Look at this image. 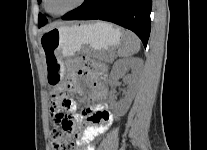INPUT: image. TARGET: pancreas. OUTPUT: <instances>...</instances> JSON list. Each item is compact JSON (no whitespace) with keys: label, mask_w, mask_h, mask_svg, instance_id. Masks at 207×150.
I'll return each mask as SVG.
<instances>
[{"label":"pancreas","mask_w":207,"mask_h":150,"mask_svg":"<svg viewBox=\"0 0 207 150\" xmlns=\"http://www.w3.org/2000/svg\"><path fill=\"white\" fill-rule=\"evenodd\" d=\"M98 58L106 62H112L115 58V54L113 52H109L99 55Z\"/></svg>","instance_id":"1"}]
</instances>
